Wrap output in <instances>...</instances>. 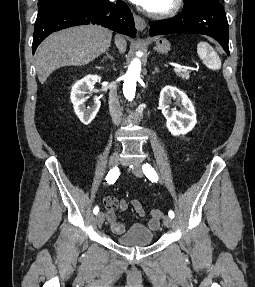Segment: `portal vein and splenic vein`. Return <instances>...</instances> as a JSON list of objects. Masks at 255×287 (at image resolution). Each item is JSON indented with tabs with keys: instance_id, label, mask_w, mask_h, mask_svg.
<instances>
[{
	"instance_id": "1",
	"label": "portal vein and splenic vein",
	"mask_w": 255,
	"mask_h": 287,
	"mask_svg": "<svg viewBox=\"0 0 255 287\" xmlns=\"http://www.w3.org/2000/svg\"><path fill=\"white\" fill-rule=\"evenodd\" d=\"M174 72H182V66H175Z\"/></svg>"
}]
</instances>
